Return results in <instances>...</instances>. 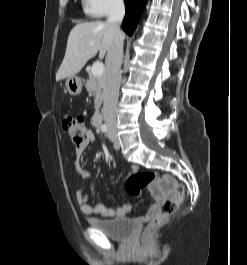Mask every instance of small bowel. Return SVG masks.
Wrapping results in <instances>:
<instances>
[{"mask_svg": "<svg viewBox=\"0 0 247 265\" xmlns=\"http://www.w3.org/2000/svg\"><path fill=\"white\" fill-rule=\"evenodd\" d=\"M94 140H95L94 133L92 131H88L85 142L82 145L77 146L76 148L75 168L82 180L81 185L76 192L77 203L80 206L81 211L86 215H97L101 217L127 216L131 213L132 208H133L131 203H126L120 207H109V206L102 205V204L92 205L90 203L89 195L85 193L84 182L90 178L91 173L87 169L82 167L80 159L84 151L86 150L89 142H93ZM131 170L133 173H136L137 167L133 166L131 167ZM152 195L154 198V203L149 207L146 214L140 218L143 221L149 220L153 216H155L157 214V211L159 210L161 203L166 199L172 198L173 192L170 190L158 191V192L152 193Z\"/></svg>", "mask_w": 247, "mask_h": 265, "instance_id": "small-bowel-1", "label": "small bowel"}]
</instances>
